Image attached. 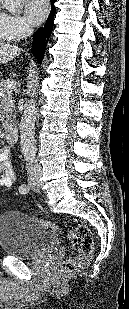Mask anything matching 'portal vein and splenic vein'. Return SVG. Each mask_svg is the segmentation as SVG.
<instances>
[{
	"mask_svg": "<svg viewBox=\"0 0 129 309\" xmlns=\"http://www.w3.org/2000/svg\"><path fill=\"white\" fill-rule=\"evenodd\" d=\"M4 86L7 88V89H15L16 87V81L14 79H11V80H7L4 84Z\"/></svg>",
	"mask_w": 129,
	"mask_h": 309,
	"instance_id": "1",
	"label": "portal vein and splenic vein"
}]
</instances>
